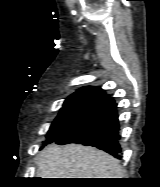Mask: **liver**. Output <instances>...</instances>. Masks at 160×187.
<instances>
[{
    "mask_svg": "<svg viewBox=\"0 0 160 187\" xmlns=\"http://www.w3.org/2000/svg\"><path fill=\"white\" fill-rule=\"evenodd\" d=\"M38 178H120L119 161L90 146L49 145L39 154Z\"/></svg>",
    "mask_w": 160,
    "mask_h": 187,
    "instance_id": "obj_1",
    "label": "liver"
}]
</instances>
